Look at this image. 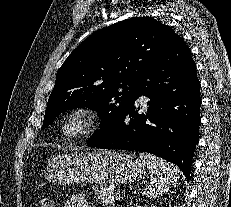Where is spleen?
I'll use <instances>...</instances> for the list:
<instances>
[{"instance_id":"1","label":"spleen","mask_w":231,"mask_h":207,"mask_svg":"<svg viewBox=\"0 0 231 207\" xmlns=\"http://www.w3.org/2000/svg\"><path fill=\"white\" fill-rule=\"evenodd\" d=\"M140 158L152 175L144 192L147 197L156 198L162 195L178 181L181 171L174 164L148 153H141Z\"/></svg>"}]
</instances>
